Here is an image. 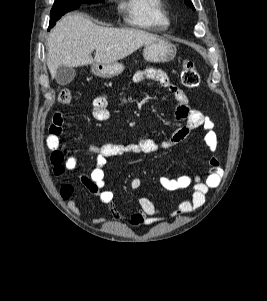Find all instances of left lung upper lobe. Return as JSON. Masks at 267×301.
<instances>
[{
  "label": "left lung upper lobe",
  "mask_w": 267,
  "mask_h": 301,
  "mask_svg": "<svg viewBox=\"0 0 267 301\" xmlns=\"http://www.w3.org/2000/svg\"><path fill=\"white\" fill-rule=\"evenodd\" d=\"M192 9H194L193 4L190 0H184Z\"/></svg>",
  "instance_id": "5c2ea615"
}]
</instances>
